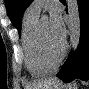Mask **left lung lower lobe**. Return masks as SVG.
<instances>
[{
    "instance_id": "left-lung-lower-lobe-1",
    "label": "left lung lower lobe",
    "mask_w": 89,
    "mask_h": 89,
    "mask_svg": "<svg viewBox=\"0 0 89 89\" xmlns=\"http://www.w3.org/2000/svg\"><path fill=\"white\" fill-rule=\"evenodd\" d=\"M81 34L78 50L71 52L68 59L57 74L64 82L74 79H89V0H78Z\"/></svg>"
}]
</instances>
